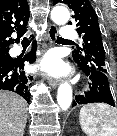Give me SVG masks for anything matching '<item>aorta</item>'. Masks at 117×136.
Listing matches in <instances>:
<instances>
[{
	"instance_id": "aorta-1",
	"label": "aorta",
	"mask_w": 117,
	"mask_h": 136,
	"mask_svg": "<svg viewBox=\"0 0 117 136\" xmlns=\"http://www.w3.org/2000/svg\"><path fill=\"white\" fill-rule=\"evenodd\" d=\"M52 20L58 25H64L69 21L70 13L63 6H56L51 11ZM57 102L62 110H67L72 103V88L69 83H62L57 92Z\"/></svg>"
}]
</instances>
